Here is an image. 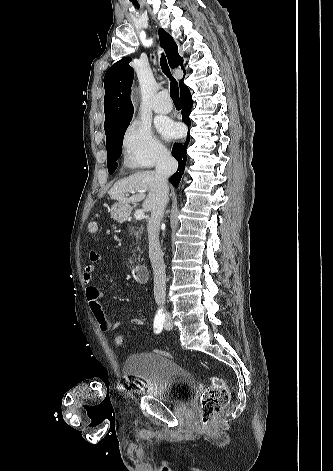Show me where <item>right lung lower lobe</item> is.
Instances as JSON below:
<instances>
[{"instance_id":"98d812e1","label":"right lung lower lobe","mask_w":333,"mask_h":471,"mask_svg":"<svg viewBox=\"0 0 333 471\" xmlns=\"http://www.w3.org/2000/svg\"><path fill=\"white\" fill-rule=\"evenodd\" d=\"M180 99L182 104V121L190 125L189 114L192 107V97L187 86H184L180 90ZM189 143V135H187V140L184 143H175L172 149V155L176 158L179 163L178 170L175 174L170 177V182L174 187H178V184L181 180V177L184 173L185 163H186V148Z\"/></svg>"}]
</instances>
